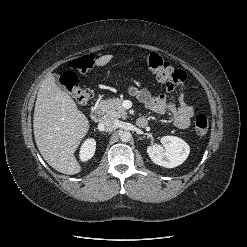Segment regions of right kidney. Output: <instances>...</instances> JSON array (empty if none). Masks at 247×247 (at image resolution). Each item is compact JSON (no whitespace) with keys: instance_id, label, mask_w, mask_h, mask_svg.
<instances>
[{"instance_id":"right-kidney-1","label":"right kidney","mask_w":247,"mask_h":247,"mask_svg":"<svg viewBox=\"0 0 247 247\" xmlns=\"http://www.w3.org/2000/svg\"><path fill=\"white\" fill-rule=\"evenodd\" d=\"M96 141L94 139H87L84 141L80 148V159L81 161H88L91 159L95 153Z\"/></svg>"}]
</instances>
